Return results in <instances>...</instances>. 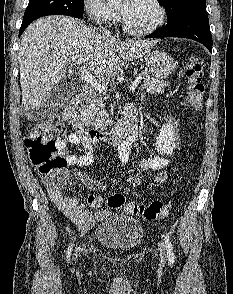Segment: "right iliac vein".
<instances>
[{"label": "right iliac vein", "instance_id": "63e3f726", "mask_svg": "<svg viewBox=\"0 0 233 294\" xmlns=\"http://www.w3.org/2000/svg\"><path fill=\"white\" fill-rule=\"evenodd\" d=\"M75 258H77V253L75 254Z\"/></svg>", "mask_w": 233, "mask_h": 294}]
</instances>
